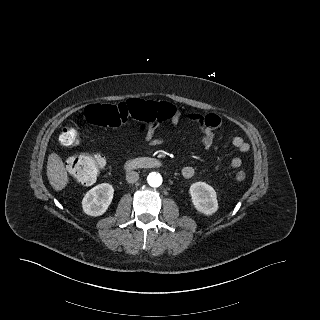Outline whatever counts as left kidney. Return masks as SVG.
I'll list each match as a JSON object with an SVG mask.
<instances>
[{"mask_svg": "<svg viewBox=\"0 0 320 320\" xmlns=\"http://www.w3.org/2000/svg\"><path fill=\"white\" fill-rule=\"evenodd\" d=\"M189 193L197 211L212 215L218 210L217 194L214 188L205 182H196L190 186Z\"/></svg>", "mask_w": 320, "mask_h": 320, "instance_id": "5707ae66", "label": "left kidney"}]
</instances>
